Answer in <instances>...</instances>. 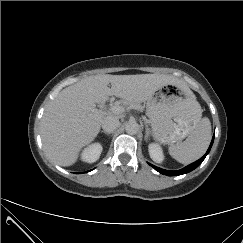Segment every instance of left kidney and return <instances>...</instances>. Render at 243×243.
Returning <instances> with one entry per match:
<instances>
[{
    "label": "left kidney",
    "mask_w": 243,
    "mask_h": 243,
    "mask_svg": "<svg viewBox=\"0 0 243 243\" xmlns=\"http://www.w3.org/2000/svg\"><path fill=\"white\" fill-rule=\"evenodd\" d=\"M151 159L156 163H161L164 160V155L161 147L158 144L151 143L148 147Z\"/></svg>",
    "instance_id": "obj_1"
}]
</instances>
